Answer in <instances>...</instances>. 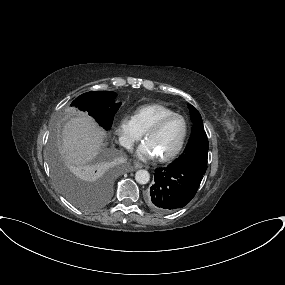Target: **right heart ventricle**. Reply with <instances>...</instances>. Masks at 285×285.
<instances>
[{"label":"right heart ventricle","instance_id":"obj_1","mask_svg":"<svg viewBox=\"0 0 285 285\" xmlns=\"http://www.w3.org/2000/svg\"><path fill=\"white\" fill-rule=\"evenodd\" d=\"M172 114L174 112L171 109L161 104H149L139 107L133 117L137 127L143 133L161 118Z\"/></svg>","mask_w":285,"mask_h":285}]
</instances>
